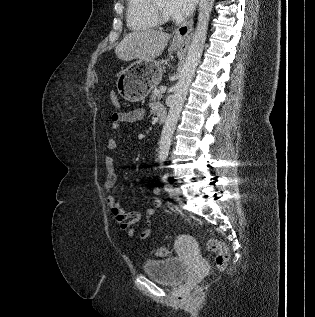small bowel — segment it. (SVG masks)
<instances>
[{
	"label": "small bowel",
	"mask_w": 315,
	"mask_h": 317,
	"mask_svg": "<svg viewBox=\"0 0 315 317\" xmlns=\"http://www.w3.org/2000/svg\"><path fill=\"white\" fill-rule=\"evenodd\" d=\"M152 108L157 112L163 108L160 104H152ZM145 111L142 108H136L128 112H114L111 115V128L113 131H118L123 125L128 123H136L143 120ZM117 147L116 140L109 138L106 143V148L110 151L115 150ZM105 182L104 187L106 191L110 192L117 181V170L120 167V163L117 162L112 156H106L105 160ZM154 198L152 199V207L145 209L141 212H126L122 204L111 194L107 197L108 205L111 209V213L118 224L121 231L126 232L129 237H133L136 232L137 224L144 217L145 222L141 227L140 239L146 240L152 229L151 218L155 215L156 211L162 207V200L159 198L161 189L155 186L152 190Z\"/></svg>",
	"instance_id": "c3829d8e"
}]
</instances>
